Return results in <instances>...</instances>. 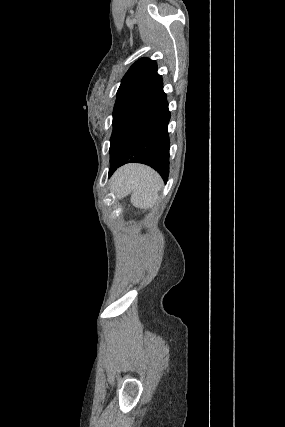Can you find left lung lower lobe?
<instances>
[{
    "mask_svg": "<svg viewBox=\"0 0 285 427\" xmlns=\"http://www.w3.org/2000/svg\"><path fill=\"white\" fill-rule=\"evenodd\" d=\"M169 120L167 97L162 87L120 136L110 161L109 176L118 167L136 162L151 166L166 181L169 175Z\"/></svg>",
    "mask_w": 285,
    "mask_h": 427,
    "instance_id": "1",
    "label": "left lung lower lobe"
}]
</instances>
